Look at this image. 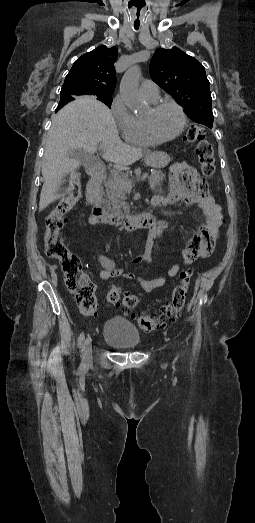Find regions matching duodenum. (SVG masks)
Returning <instances> with one entry per match:
<instances>
[{"label": "duodenum", "mask_w": 255, "mask_h": 523, "mask_svg": "<svg viewBox=\"0 0 255 523\" xmlns=\"http://www.w3.org/2000/svg\"><path fill=\"white\" fill-rule=\"evenodd\" d=\"M90 181L86 191V201L92 208V220L94 224H108L120 226L125 230L137 228H152L156 224V217L152 212H145L139 215H125L109 213L103 204L102 180L105 173V165L102 162L90 161L86 165ZM154 206L166 204L163 197H155L152 200Z\"/></svg>", "instance_id": "1"}]
</instances>
